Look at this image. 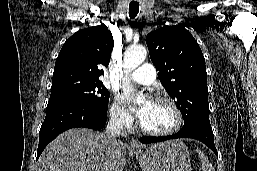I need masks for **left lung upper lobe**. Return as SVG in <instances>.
Returning <instances> with one entry per match:
<instances>
[{
    "label": "left lung upper lobe",
    "mask_w": 257,
    "mask_h": 171,
    "mask_svg": "<svg viewBox=\"0 0 257 171\" xmlns=\"http://www.w3.org/2000/svg\"><path fill=\"white\" fill-rule=\"evenodd\" d=\"M158 77L184 118L210 125L205 59L192 34L183 27L164 26L146 37Z\"/></svg>",
    "instance_id": "5c2ea615"
}]
</instances>
